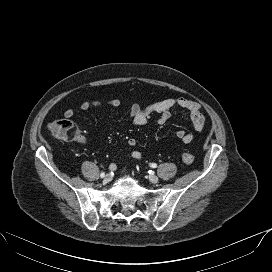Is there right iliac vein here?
<instances>
[{
    "label": "right iliac vein",
    "mask_w": 272,
    "mask_h": 272,
    "mask_svg": "<svg viewBox=\"0 0 272 272\" xmlns=\"http://www.w3.org/2000/svg\"><path fill=\"white\" fill-rule=\"evenodd\" d=\"M112 180V176L110 175V174H107L105 177H104V182L105 183H108V182H110Z\"/></svg>",
    "instance_id": "63e3f726"
}]
</instances>
